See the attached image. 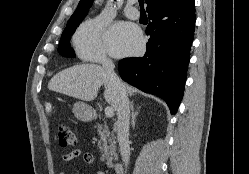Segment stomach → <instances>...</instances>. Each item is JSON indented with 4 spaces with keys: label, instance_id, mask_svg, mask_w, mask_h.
<instances>
[{
    "label": "stomach",
    "instance_id": "1",
    "mask_svg": "<svg viewBox=\"0 0 249 174\" xmlns=\"http://www.w3.org/2000/svg\"><path fill=\"white\" fill-rule=\"evenodd\" d=\"M73 113L81 121H90L93 117L92 107L83 102H76L74 104Z\"/></svg>",
    "mask_w": 249,
    "mask_h": 174
}]
</instances>
